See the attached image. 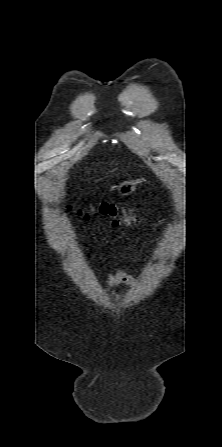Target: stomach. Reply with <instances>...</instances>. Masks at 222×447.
Wrapping results in <instances>:
<instances>
[{
  "instance_id": "stomach-1",
  "label": "stomach",
  "mask_w": 222,
  "mask_h": 447,
  "mask_svg": "<svg viewBox=\"0 0 222 447\" xmlns=\"http://www.w3.org/2000/svg\"><path fill=\"white\" fill-rule=\"evenodd\" d=\"M138 183L137 180H124L116 186V190L119 195L128 196L136 190Z\"/></svg>"
}]
</instances>
